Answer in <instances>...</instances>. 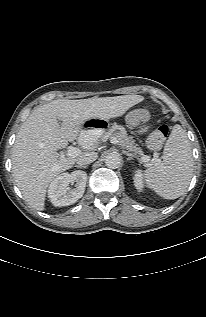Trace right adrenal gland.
I'll return each instance as SVG.
<instances>
[{
    "label": "right adrenal gland",
    "mask_w": 206,
    "mask_h": 317,
    "mask_svg": "<svg viewBox=\"0 0 206 317\" xmlns=\"http://www.w3.org/2000/svg\"><path fill=\"white\" fill-rule=\"evenodd\" d=\"M75 167H78V168H87L88 166H83V167H81V166H79V165H76Z\"/></svg>",
    "instance_id": "2a0ac1e0"
}]
</instances>
